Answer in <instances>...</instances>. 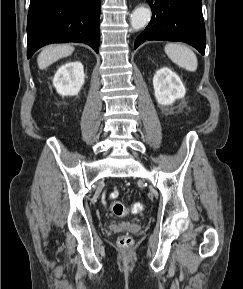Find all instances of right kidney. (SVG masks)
I'll return each mask as SVG.
<instances>
[{
	"mask_svg": "<svg viewBox=\"0 0 243 289\" xmlns=\"http://www.w3.org/2000/svg\"><path fill=\"white\" fill-rule=\"evenodd\" d=\"M85 81L84 67L81 62L73 61L62 65L55 73L53 85L62 96H75Z\"/></svg>",
	"mask_w": 243,
	"mask_h": 289,
	"instance_id": "obj_1",
	"label": "right kidney"
}]
</instances>
